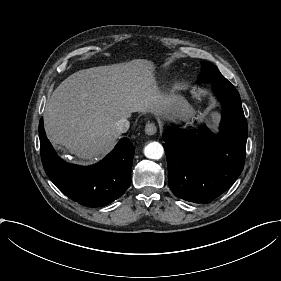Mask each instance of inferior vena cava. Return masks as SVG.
Masks as SVG:
<instances>
[{
  "label": "inferior vena cava",
  "mask_w": 281,
  "mask_h": 281,
  "mask_svg": "<svg viewBox=\"0 0 281 281\" xmlns=\"http://www.w3.org/2000/svg\"><path fill=\"white\" fill-rule=\"evenodd\" d=\"M115 126L120 133H125L128 131L130 123L126 118H122L115 123Z\"/></svg>",
  "instance_id": "1"
}]
</instances>
